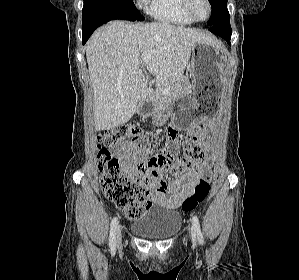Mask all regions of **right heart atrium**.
Wrapping results in <instances>:
<instances>
[{
	"instance_id": "1",
	"label": "right heart atrium",
	"mask_w": 299,
	"mask_h": 280,
	"mask_svg": "<svg viewBox=\"0 0 299 280\" xmlns=\"http://www.w3.org/2000/svg\"><path fill=\"white\" fill-rule=\"evenodd\" d=\"M146 1H147V0H137L138 4H139L140 6L145 5V4H146Z\"/></svg>"
}]
</instances>
